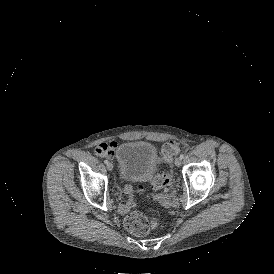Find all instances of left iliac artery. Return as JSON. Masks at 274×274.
<instances>
[{
  "label": "left iliac artery",
  "mask_w": 274,
  "mask_h": 274,
  "mask_svg": "<svg viewBox=\"0 0 274 274\" xmlns=\"http://www.w3.org/2000/svg\"><path fill=\"white\" fill-rule=\"evenodd\" d=\"M185 155L184 154H181L180 155V159H184Z\"/></svg>",
  "instance_id": "left-iliac-artery-1"
}]
</instances>
